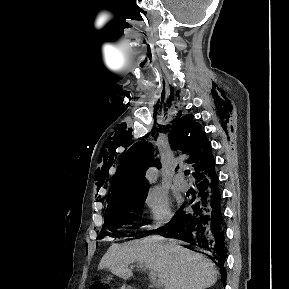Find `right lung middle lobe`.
<instances>
[{"mask_svg": "<svg viewBox=\"0 0 289 289\" xmlns=\"http://www.w3.org/2000/svg\"><path fill=\"white\" fill-rule=\"evenodd\" d=\"M147 197V193L136 194L134 196L128 197L122 201L111 204L107 207L105 211L104 225L98 239H101L105 236L106 230L116 232L117 228L122 226L121 220H131L137 221V214L142 212L143 204ZM139 224H134L133 229H138ZM114 236H125L124 233L117 232ZM126 236H138L136 233Z\"/></svg>", "mask_w": 289, "mask_h": 289, "instance_id": "right-lung-middle-lobe-1", "label": "right lung middle lobe"}]
</instances>
